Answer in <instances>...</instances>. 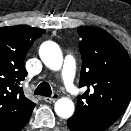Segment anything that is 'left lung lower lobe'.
Here are the masks:
<instances>
[{"mask_svg": "<svg viewBox=\"0 0 131 131\" xmlns=\"http://www.w3.org/2000/svg\"><path fill=\"white\" fill-rule=\"evenodd\" d=\"M67 126L71 131H97L90 127L85 121L75 116L68 119Z\"/></svg>", "mask_w": 131, "mask_h": 131, "instance_id": "0a47b994", "label": "left lung lower lobe"}]
</instances>
